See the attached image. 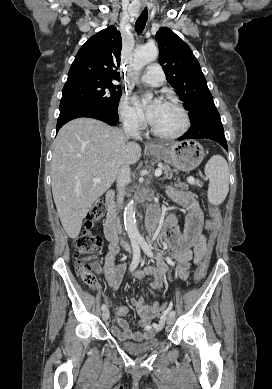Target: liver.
<instances>
[{"label": "liver", "instance_id": "6515ba94", "mask_svg": "<svg viewBox=\"0 0 272 389\" xmlns=\"http://www.w3.org/2000/svg\"><path fill=\"white\" fill-rule=\"evenodd\" d=\"M127 139L121 129L91 118L72 120L58 132L51 161L52 193L70 238L78 237L87 212L112 186L121 167L140 159V145Z\"/></svg>", "mask_w": 272, "mask_h": 389}]
</instances>
